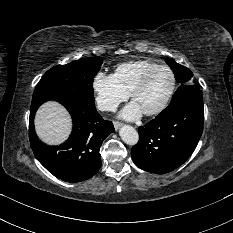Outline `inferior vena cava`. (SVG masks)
Listing matches in <instances>:
<instances>
[{"mask_svg":"<svg viewBox=\"0 0 233 233\" xmlns=\"http://www.w3.org/2000/svg\"><path fill=\"white\" fill-rule=\"evenodd\" d=\"M99 109L100 110H106V111H116L117 109V104H114V103H102L100 104L99 106Z\"/></svg>","mask_w":233,"mask_h":233,"instance_id":"1","label":"inferior vena cava"}]
</instances>
